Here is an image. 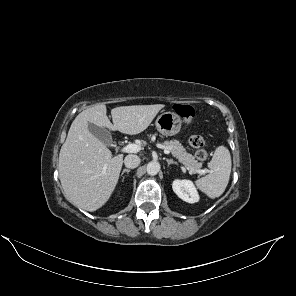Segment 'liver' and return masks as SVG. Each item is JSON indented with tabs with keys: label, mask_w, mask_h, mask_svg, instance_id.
<instances>
[{
	"label": "liver",
	"mask_w": 296,
	"mask_h": 296,
	"mask_svg": "<svg viewBox=\"0 0 296 296\" xmlns=\"http://www.w3.org/2000/svg\"><path fill=\"white\" fill-rule=\"evenodd\" d=\"M162 108L163 104L116 107L111 110L113 124L104 104L82 111L72 122L59 154V178L65 198L76 207L96 211L108 201L119 179L123 155L113 157L89 131V123L136 135L148 128Z\"/></svg>",
	"instance_id": "1"
}]
</instances>
